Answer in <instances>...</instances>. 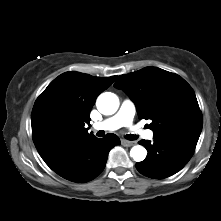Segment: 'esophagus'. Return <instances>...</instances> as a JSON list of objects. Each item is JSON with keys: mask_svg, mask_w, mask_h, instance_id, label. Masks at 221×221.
<instances>
[{"mask_svg": "<svg viewBox=\"0 0 221 221\" xmlns=\"http://www.w3.org/2000/svg\"><path fill=\"white\" fill-rule=\"evenodd\" d=\"M121 143L123 146H126V147H130V146L134 145L133 141H128V140H124V139L121 141Z\"/></svg>", "mask_w": 221, "mask_h": 221, "instance_id": "esophagus-1", "label": "esophagus"}]
</instances>
